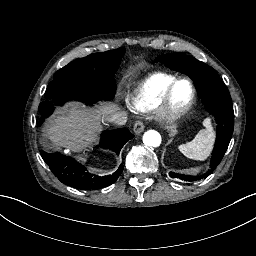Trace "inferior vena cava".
<instances>
[{
    "label": "inferior vena cava",
    "instance_id": "1",
    "mask_svg": "<svg viewBox=\"0 0 256 256\" xmlns=\"http://www.w3.org/2000/svg\"><path fill=\"white\" fill-rule=\"evenodd\" d=\"M106 119L115 127L125 126L127 123L126 112H113L106 116Z\"/></svg>",
    "mask_w": 256,
    "mask_h": 256
}]
</instances>
